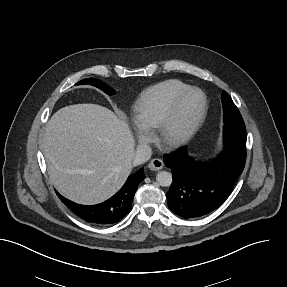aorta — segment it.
Wrapping results in <instances>:
<instances>
[{
	"mask_svg": "<svg viewBox=\"0 0 287 287\" xmlns=\"http://www.w3.org/2000/svg\"><path fill=\"white\" fill-rule=\"evenodd\" d=\"M156 181L160 186L168 187L172 183V174L167 171H160L156 176Z\"/></svg>",
	"mask_w": 287,
	"mask_h": 287,
	"instance_id": "762f6f07",
	"label": "aorta"
}]
</instances>
